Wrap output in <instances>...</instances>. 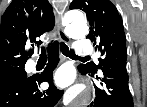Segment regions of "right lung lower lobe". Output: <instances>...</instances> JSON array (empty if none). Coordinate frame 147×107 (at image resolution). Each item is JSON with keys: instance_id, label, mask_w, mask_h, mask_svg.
I'll return each mask as SVG.
<instances>
[{"instance_id": "right-lung-lower-lobe-1", "label": "right lung lower lobe", "mask_w": 147, "mask_h": 107, "mask_svg": "<svg viewBox=\"0 0 147 107\" xmlns=\"http://www.w3.org/2000/svg\"><path fill=\"white\" fill-rule=\"evenodd\" d=\"M59 62L57 42H54L48 64L41 75L26 77L0 87V107H54L63 95L52 82V72ZM48 82L49 88L38 89L41 82Z\"/></svg>"}]
</instances>
